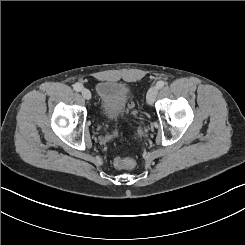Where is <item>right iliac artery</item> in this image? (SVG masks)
<instances>
[{
  "instance_id": "right-iliac-artery-1",
  "label": "right iliac artery",
  "mask_w": 245,
  "mask_h": 245,
  "mask_svg": "<svg viewBox=\"0 0 245 245\" xmlns=\"http://www.w3.org/2000/svg\"><path fill=\"white\" fill-rule=\"evenodd\" d=\"M83 89V86L79 83L74 84V90L80 92Z\"/></svg>"
}]
</instances>
